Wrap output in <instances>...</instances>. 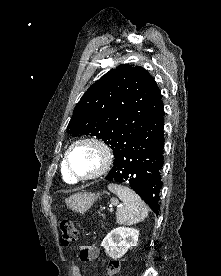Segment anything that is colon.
<instances>
[{
    "instance_id": "1",
    "label": "colon",
    "mask_w": 221,
    "mask_h": 276,
    "mask_svg": "<svg viewBox=\"0 0 221 276\" xmlns=\"http://www.w3.org/2000/svg\"><path fill=\"white\" fill-rule=\"evenodd\" d=\"M61 231V243L63 246H69L78 239V229L74 221L63 220L60 223ZM120 269V262L118 260H112L107 265V276H114Z\"/></svg>"
}]
</instances>
